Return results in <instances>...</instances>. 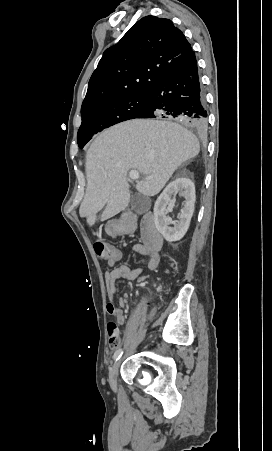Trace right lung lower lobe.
<instances>
[{"mask_svg":"<svg viewBox=\"0 0 272 451\" xmlns=\"http://www.w3.org/2000/svg\"><path fill=\"white\" fill-rule=\"evenodd\" d=\"M207 116L194 53L152 89L147 109L137 118L176 119L204 132Z\"/></svg>","mask_w":272,"mask_h":451,"instance_id":"1","label":"right lung lower lobe"}]
</instances>
